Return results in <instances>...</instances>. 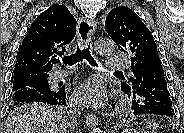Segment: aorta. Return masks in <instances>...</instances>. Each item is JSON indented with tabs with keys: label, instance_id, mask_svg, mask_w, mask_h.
<instances>
[{
	"label": "aorta",
	"instance_id": "762f6f07",
	"mask_svg": "<svg viewBox=\"0 0 184 133\" xmlns=\"http://www.w3.org/2000/svg\"><path fill=\"white\" fill-rule=\"evenodd\" d=\"M115 45L108 39H97L94 42V50L101 55H109L114 52ZM91 133H102L101 128L94 127Z\"/></svg>",
	"mask_w": 184,
	"mask_h": 133
}]
</instances>
